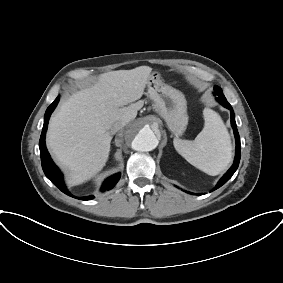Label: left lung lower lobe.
I'll return each instance as SVG.
<instances>
[{
	"mask_svg": "<svg viewBox=\"0 0 283 283\" xmlns=\"http://www.w3.org/2000/svg\"><path fill=\"white\" fill-rule=\"evenodd\" d=\"M216 99L222 106H224L225 108L230 110L231 125L234 129V135H235V140H236V153H235V159H234L233 165L227 171V173L219 180V182L217 183V185L214 189H218L219 187L224 185L232 177V175L235 173V171L237 170V168L239 166L240 156H241L240 155L241 154L240 137H239V133H238V130H237V127H236L234 111H233L231 105L227 102L225 96L217 97Z\"/></svg>",
	"mask_w": 283,
	"mask_h": 283,
	"instance_id": "obj_1",
	"label": "left lung lower lobe"
}]
</instances>
